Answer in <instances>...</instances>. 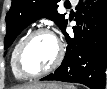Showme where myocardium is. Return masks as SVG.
<instances>
[{
    "label": "myocardium",
    "mask_w": 107,
    "mask_h": 89,
    "mask_svg": "<svg viewBox=\"0 0 107 89\" xmlns=\"http://www.w3.org/2000/svg\"><path fill=\"white\" fill-rule=\"evenodd\" d=\"M38 34H49V35L53 36L58 45V53H57L56 59L49 67H47L46 69H43L41 71H38V72L30 73V72L25 71L22 67V63H21L22 55H23V52H24L27 44L29 43V41ZM63 56H64L63 45L61 44L57 35L54 33V31L52 29L42 26V27H38V28L32 30L22 40V42L17 50V54H16V67H17V70L21 73V75H23L25 78H36V77L45 75V74L53 71L54 69H56L62 62Z\"/></svg>",
    "instance_id": "obj_1"
}]
</instances>
